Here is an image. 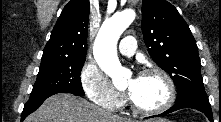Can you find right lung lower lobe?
Listing matches in <instances>:
<instances>
[{"label":"right lung lower lobe","mask_w":221,"mask_h":122,"mask_svg":"<svg viewBox=\"0 0 221 122\" xmlns=\"http://www.w3.org/2000/svg\"><path fill=\"white\" fill-rule=\"evenodd\" d=\"M61 92L72 93L77 96L81 95L72 91H55V92H50V93L43 94V95H38L36 97H30V99L24 106L23 112L21 114V121H23L30 113H32L37 108H39V106L45 101V99H47L51 95H54L56 93H61Z\"/></svg>","instance_id":"1"}]
</instances>
